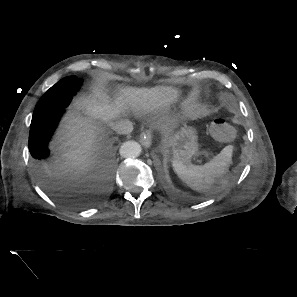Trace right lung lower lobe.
Here are the masks:
<instances>
[{
  "instance_id": "98d812e1",
  "label": "right lung lower lobe",
  "mask_w": 297,
  "mask_h": 297,
  "mask_svg": "<svg viewBox=\"0 0 297 297\" xmlns=\"http://www.w3.org/2000/svg\"><path fill=\"white\" fill-rule=\"evenodd\" d=\"M72 97L58 104L44 118L32 119L29 134V150L35 160L37 170H41L46 166V161L50 157L48 144L62 115L66 112V108L71 103Z\"/></svg>"
}]
</instances>
